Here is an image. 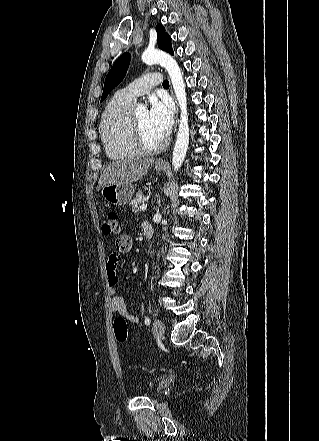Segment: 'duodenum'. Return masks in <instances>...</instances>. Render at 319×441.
<instances>
[{
  "label": "duodenum",
  "instance_id": "obj_1",
  "mask_svg": "<svg viewBox=\"0 0 319 441\" xmlns=\"http://www.w3.org/2000/svg\"><path fill=\"white\" fill-rule=\"evenodd\" d=\"M143 231H144V236L147 239L151 238L154 232L152 225L148 222H145L143 224Z\"/></svg>",
  "mask_w": 319,
  "mask_h": 441
}]
</instances>
